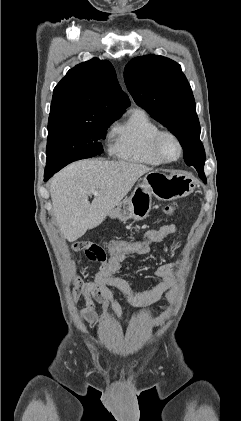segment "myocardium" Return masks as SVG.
<instances>
[{"instance_id":"myocardium-1","label":"myocardium","mask_w":241,"mask_h":421,"mask_svg":"<svg viewBox=\"0 0 241 421\" xmlns=\"http://www.w3.org/2000/svg\"><path fill=\"white\" fill-rule=\"evenodd\" d=\"M165 138H171L177 144L178 153L174 158H171V159L167 158V157H165V155L163 153L162 142ZM153 149H154V152L156 153V155L158 156V158L164 163H171V162L177 161L183 153V145H182V142H181L180 138L174 132L169 131V130H160L156 134V136L154 138V141H153Z\"/></svg>"}]
</instances>
